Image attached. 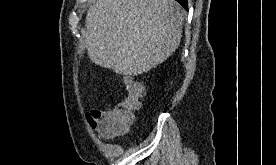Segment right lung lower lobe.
Wrapping results in <instances>:
<instances>
[{"label":"right lung lower lobe","instance_id":"obj_1","mask_svg":"<svg viewBox=\"0 0 276 165\" xmlns=\"http://www.w3.org/2000/svg\"><path fill=\"white\" fill-rule=\"evenodd\" d=\"M176 1L179 2L186 10H188L187 0H176Z\"/></svg>","mask_w":276,"mask_h":165}]
</instances>
